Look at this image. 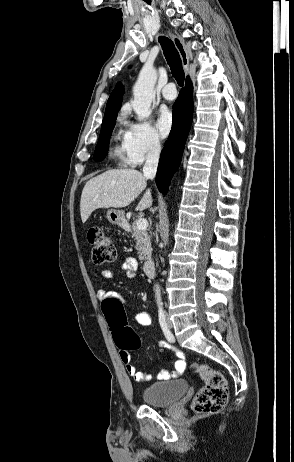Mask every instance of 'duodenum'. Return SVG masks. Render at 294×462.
<instances>
[{"label":"duodenum","mask_w":294,"mask_h":462,"mask_svg":"<svg viewBox=\"0 0 294 462\" xmlns=\"http://www.w3.org/2000/svg\"><path fill=\"white\" fill-rule=\"evenodd\" d=\"M143 270L146 276L151 277L155 272V264L152 260H146L143 265Z\"/></svg>","instance_id":"1"}]
</instances>
